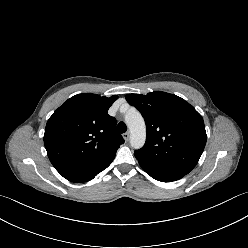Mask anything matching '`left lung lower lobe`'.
<instances>
[{"instance_id":"obj_1","label":"left lung lower lobe","mask_w":248,"mask_h":248,"mask_svg":"<svg viewBox=\"0 0 248 248\" xmlns=\"http://www.w3.org/2000/svg\"><path fill=\"white\" fill-rule=\"evenodd\" d=\"M140 164V163H139ZM142 169L148 173L151 177L162 182H171L181 179L186 174L180 172H173L167 170H161L147 165L140 164Z\"/></svg>"}]
</instances>
